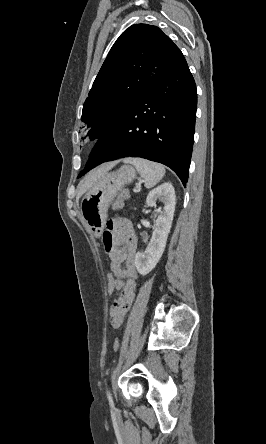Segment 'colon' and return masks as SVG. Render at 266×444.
Instances as JSON below:
<instances>
[{
    "instance_id": "5ec220e1",
    "label": "colon",
    "mask_w": 266,
    "mask_h": 444,
    "mask_svg": "<svg viewBox=\"0 0 266 444\" xmlns=\"http://www.w3.org/2000/svg\"><path fill=\"white\" fill-rule=\"evenodd\" d=\"M128 197L129 192L126 189L122 190L118 198L114 201L113 208L120 209L123 206L124 202L128 199ZM106 290L109 296H112L117 290V277L112 271H110L106 275ZM119 348L120 341L118 338H116L113 342V349L117 351Z\"/></svg>"
}]
</instances>
